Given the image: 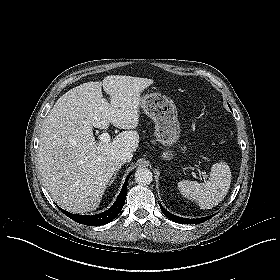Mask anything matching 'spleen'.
Segmentation results:
<instances>
[{
	"label": "spleen",
	"instance_id": "obj_1",
	"mask_svg": "<svg viewBox=\"0 0 280 280\" xmlns=\"http://www.w3.org/2000/svg\"><path fill=\"white\" fill-rule=\"evenodd\" d=\"M231 179L232 175L228 164L221 160L213 164L210 177L206 182L182 180L177 186L186 198L197 201L199 206L204 209H210L226 197Z\"/></svg>",
	"mask_w": 280,
	"mask_h": 280
}]
</instances>
